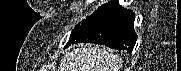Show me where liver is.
I'll list each match as a JSON object with an SVG mask.
<instances>
[{"label": "liver", "instance_id": "6515ba94", "mask_svg": "<svg viewBox=\"0 0 181 71\" xmlns=\"http://www.w3.org/2000/svg\"><path fill=\"white\" fill-rule=\"evenodd\" d=\"M122 59L105 48L85 45L66 53L60 71H120Z\"/></svg>", "mask_w": 181, "mask_h": 71}]
</instances>
